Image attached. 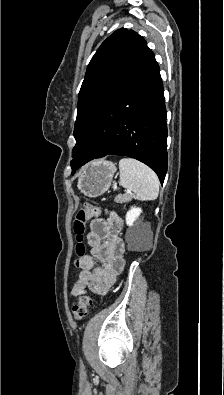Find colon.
Segmentation results:
<instances>
[{"label": "colon", "mask_w": 224, "mask_h": 395, "mask_svg": "<svg viewBox=\"0 0 224 395\" xmlns=\"http://www.w3.org/2000/svg\"><path fill=\"white\" fill-rule=\"evenodd\" d=\"M101 214L99 207L86 203L78 211L76 219L73 223V231L78 241L76 245V253L82 256L85 252V246L83 244V235L86 229V222L90 218L98 217ZM76 265L79 266V261H76ZM93 304L92 297L86 292L82 291L78 297V302L73 307V316L76 320H82L87 317L88 310Z\"/></svg>", "instance_id": "obj_1"}]
</instances>
